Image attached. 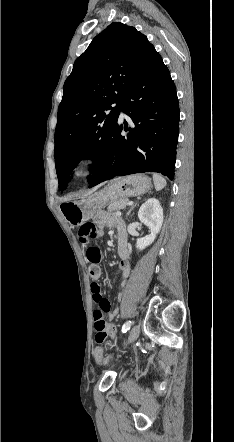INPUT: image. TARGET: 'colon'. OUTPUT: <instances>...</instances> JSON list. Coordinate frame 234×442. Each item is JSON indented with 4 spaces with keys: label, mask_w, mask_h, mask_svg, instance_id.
<instances>
[{
    "label": "colon",
    "mask_w": 234,
    "mask_h": 442,
    "mask_svg": "<svg viewBox=\"0 0 234 442\" xmlns=\"http://www.w3.org/2000/svg\"><path fill=\"white\" fill-rule=\"evenodd\" d=\"M96 233H97L96 227L93 224L88 223L80 227L78 235L80 241L85 244L89 237L96 238ZM86 255L88 260L91 262L89 268L90 277L93 280H98L101 276V269L98 265V263L101 260V251L97 246L90 245L87 247ZM92 296L94 302L97 304V308L93 312V318L96 314H106L110 310V302L102 297L101 290L98 285H95L93 287ZM93 350L95 355L94 357L95 362H97V364H100V362H102V364H105V361H103V356H102L103 347L99 344H96L94 345Z\"/></svg>",
    "instance_id": "5ec220e1"
}]
</instances>
